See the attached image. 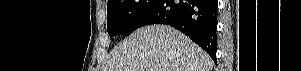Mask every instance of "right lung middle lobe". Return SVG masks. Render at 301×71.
<instances>
[{
  "label": "right lung middle lobe",
  "instance_id": "obj_1",
  "mask_svg": "<svg viewBox=\"0 0 301 71\" xmlns=\"http://www.w3.org/2000/svg\"><path fill=\"white\" fill-rule=\"evenodd\" d=\"M157 0H108L107 29L112 38L129 35L139 28L144 16Z\"/></svg>",
  "mask_w": 301,
  "mask_h": 71
}]
</instances>
